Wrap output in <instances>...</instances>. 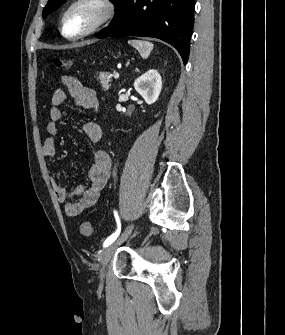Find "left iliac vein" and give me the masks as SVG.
<instances>
[{
  "label": "left iliac vein",
  "mask_w": 285,
  "mask_h": 335,
  "mask_svg": "<svg viewBox=\"0 0 285 335\" xmlns=\"http://www.w3.org/2000/svg\"><path fill=\"white\" fill-rule=\"evenodd\" d=\"M134 228V224H129L125 231L123 232L122 236L113 244H110L106 248H104L100 253V271L99 277L104 279L106 277V268L108 263L114 254L116 248L121 245L132 233Z\"/></svg>",
  "instance_id": "4c4485c4"
}]
</instances>
